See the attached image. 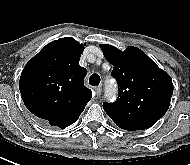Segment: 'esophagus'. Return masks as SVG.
I'll list each match as a JSON object with an SVG mask.
<instances>
[{
	"label": "esophagus",
	"mask_w": 190,
	"mask_h": 165,
	"mask_svg": "<svg viewBox=\"0 0 190 165\" xmlns=\"http://www.w3.org/2000/svg\"><path fill=\"white\" fill-rule=\"evenodd\" d=\"M94 93H95V95H96L97 97H99V96L101 95V93H102V87H101V86L96 87V88L94 89Z\"/></svg>",
	"instance_id": "esophagus-1"
}]
</instances>
